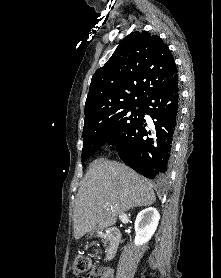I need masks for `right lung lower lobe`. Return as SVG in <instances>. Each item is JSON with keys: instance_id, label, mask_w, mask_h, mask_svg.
<instances>
[{"instance_id": "obj_1", "label": "right lung lower lobe", "mask_w": 221, "mask_h": 278, "mask_svg": "<svg viewBox=\"0 0 221 278\" xmlns=\"http://www.w3.org/2000/svg\"><path fill=\"white\" fill-rule=\"evenodd\" d=\"M178 74L153 89L143 101V118L118 145L126 165L150 179H164L168 172L179 116ZM144 114L154 120L155 129H146Z\"/></svg>"}]
</instances>
